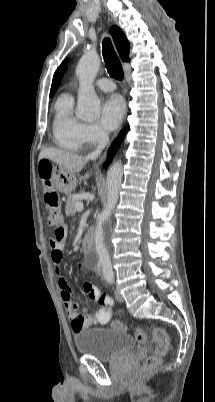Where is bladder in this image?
Segmentation results:
<instances>
[{
    "instance_id": "1",
    "label": "bladder",
    "mask_w": 215,
    "mask_h": 402,
    "mask_svg": "<svg viewBox=\"0 0 215 402\" xmlns=\"http://www.w3.org/2000/svg\"><path fill=\"white\" fill-rule=\"evenodd\" d=\"M78 352L92 356L101 362H111L130 352L135 341L125 332L110 328H89L73 336Z\"/></svg>"
}]
</instances>
